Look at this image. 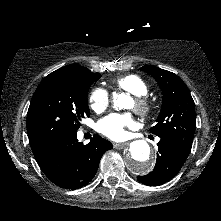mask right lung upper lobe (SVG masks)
Masks as SVG:
<instances>
[{"instance_id": "obj_1", "label": "right lung upper lobe", "mask_w": 221, "mask_h": 221, "mask_svg": "<svg viewBox=\"0 0 221 221\" xmlns=\"http://www.w3.org/2000/svg\"><path fill=\"white\" fill-rule=\"evenodd\" d=\"M58 70L59 71H66V72H75V73H85L87 71H90L87 68L82 67L80 65H76V64L67 65V66H64Z\"/></svg>"}]
</instances>
